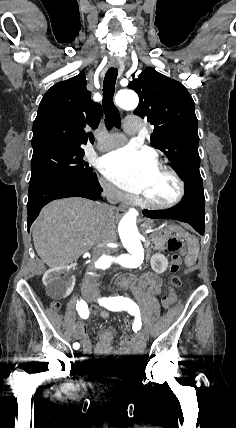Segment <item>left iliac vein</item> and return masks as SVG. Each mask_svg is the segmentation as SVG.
Segmentation results:
<instances>
[{
    "instance_id": "left-iliac-vein-1",
    "label": "left iliac vein",
    "mask_w": 236,
    "mask_h": 428,
    "mask_svg": "<svg viewBox=\"0 0 236 428\" xmlns=\"http://www.w3.org/2000/svg\"><path fill=\"white\" fill-rule=\"evenodd\" d=\"M142 331H143V334H144L146 337L149 335V334H148V329H145V328H144Z\"/></svg>"
}]
</instances>
